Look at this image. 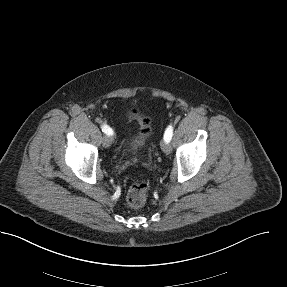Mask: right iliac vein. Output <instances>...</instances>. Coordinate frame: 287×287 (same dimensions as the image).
I'll return each instance as SVG.
<instances>
[{
	"label": "right iliac vein",
	"mask_w": 287,
	"mask_h": 287,
	"mask_svg": "<svg viewBox=\"0 0 287 287\" xmlns=\"http://www.w3.org/2000/svg\"><path fill=\"white\" fill-rule=\"evenodd\" d=\"M112 137L110 136H104L102 139V143L104 147H109L112 144Z\"/></svg>",
	"instance_id": "63e3f726"
}]
</instances>
